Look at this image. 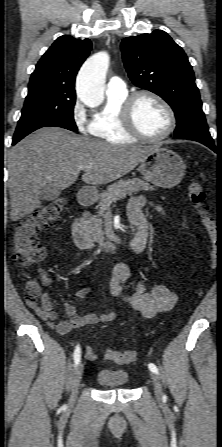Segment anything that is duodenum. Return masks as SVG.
<instances>
[{"mask_svg": "<svg viewBox=\"0 0 222 447\" xmlns=\"http://www.w3.org/2000/svg\"><path fill=\"white\" fill-rule=\"evenodd\" d=\"M78 202L84 207H88L93 203V196L87 190H81L78 194ZM72 235L76 245L81 249H92L97 246L96 242L90 236L85 219L81 214H78L72 222ZM100 247L107 252L114 253L119 248V243L116 240L108 241L100 244Z\"/></svg>", "mask_w": 222, "mask_h": 447, "instance_id": "obj_1", "label": "duodenum"}]
</instances>
